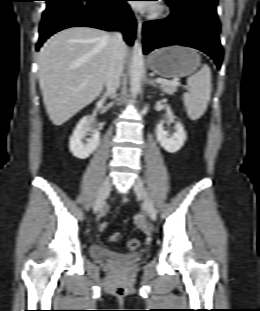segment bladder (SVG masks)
Returning a JSON list of instances; mask_svg holds the SVG:
<instances>
[{"instance_id": "obj_1", "label": "bladder", "mask_w": 260, "mask_h": 311, "mask_svg": "<svg viewBox=\"0 0 260 311\" xmlns=\"http://www.w3.org/2000/svg\"><path fill=\"white\" fill-rule=\"evenodd\" d=\"M89 252L94 260L101 262H113L120 259H125L128 261H138L141 258L140 254H132L126 256L120 255L115 251L101 245H91L89 248Z\"/></svg>"}]
</instances>
